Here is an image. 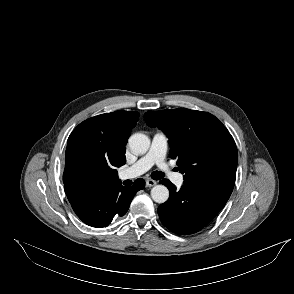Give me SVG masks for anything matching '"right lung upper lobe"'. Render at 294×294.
Instances as JSON below:
<instances>
[{"mask_svg": "<svg viewBox=\"0 0 294 294\" xmlns=\"http://www.w3.org/2000/svg\"><path fill=\"white\" fill-rule=\"evenodd\" d=\"M139 113L115 111L89 118L70 134L65 153L64 190L79 204L96 190L121 183L116 167L126 163L125 145Z\"/></svg>", "mask_w": 294, "mask_h": 294, "instance_id": "1", "label": "right lung upper lobe"}]
</instances>
